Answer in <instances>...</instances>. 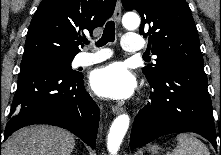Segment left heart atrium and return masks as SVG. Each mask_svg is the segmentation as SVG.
<instances>
[{
    "mask_svg": "<svg viewBox=\"0 0 221 155\" xmlns=\"http://www.w3.org/2000/svg\"><path fill=\"white\" fill-rule=\"evenodd\" d=\"M90 84L98 95L113 99L129 98L136 88L135 77L119 62L96 69L91 75Z\"/></svg>",
    "mask_w": 221,
    "mask_h": 155,
    "instance_id": "39dd6f15",
    "label": "left heart atrium"
}]
</instances>
